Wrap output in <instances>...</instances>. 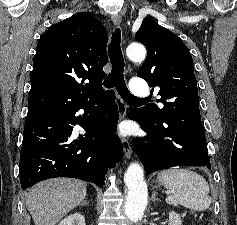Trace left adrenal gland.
I'll return each instance as SVG.
<instances>
[{"label":"left adrenal gland","instance_id":"obj_1","mask_svg":"<svg viewBox=\"0 0 237 225\" xmlns=\"http://www.w3.org/2000/svg\"><path fill=\"white\" fill-rule=\"evenodd\" d=\"M156 194H157V193H156L155 191H153L151 200L154 201V202H155V201H160V199L156 198Z\"/></svg>","mask_w":237,"mask_h":225}]
</instances>
